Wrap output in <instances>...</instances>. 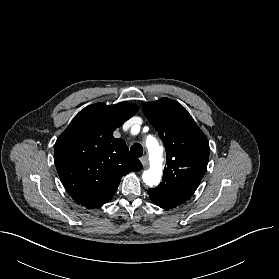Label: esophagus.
<instances>
[{
	"label": "esophagus",
	"instance_id": "34e87169",
	"mask_svg": "<svg viewBox=\"0 0 279 279\" xmlns=\"http://www.w3.org/2000/svg\"><path fill=\"white\" fill-rule=\"evenodd\" d=\"M140 161H141L143 167H146L148 165V158H147V156L141 157Z\"/></svg>",
	"mask_w": 279,
	"mask_h": 279
}]
</instances>
